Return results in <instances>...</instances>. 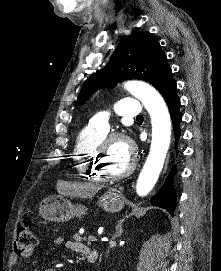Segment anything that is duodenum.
Segmentation results:
<instances>
[{"instance_id": "duodenum-1", "label": "duodenum", "mask_w": 221, "mask_h": 271, "mask_svg": "<svg viewBox=\"0 0 221 271\" xmlns=\"http://www.w3.org/2000/svg\"><path fill=\"white\" fill-rule=\"evenodd\" d=\"M87 260L89 263H96L98 260V253L96 251H92L87 257Z\"/></svg>"}]
</instances>
